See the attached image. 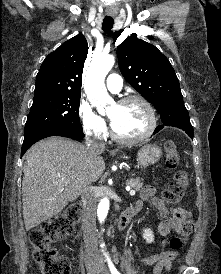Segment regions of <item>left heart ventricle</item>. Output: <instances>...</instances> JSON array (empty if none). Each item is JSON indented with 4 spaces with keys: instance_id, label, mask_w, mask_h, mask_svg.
Here are the masks:
<instances>
[{
    "instance_id": "left-heart-ventricle-1",
    "label": "left heart ventricle",
    "mask_w": 221,
    "mask_h": 274,
    "mask_svg": "<svg viewBox=\"0 0 221 274\" xmlns=\"http://www.w3.org/2000/svg\"><path fill=\"white\" fill-rule=\"evenodd\" d=\"M112 126L122 137H137L143 134L149 124L148 113L143 105L134 102L127 105H113L108 111Z\"/></svg>"
}]
</instances>
